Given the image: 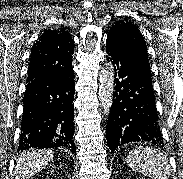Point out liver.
I'll return each instance as SVG.
<instances>
[{
    "label": "liver",
    "mask_w": 183,
    "mask_h": 179,
    "mask_svg": "<svg viewBox=\"0 0 183 179\" xmlns=\"http://www.w3.org/2000/svg\"><path fill=\"white\" fill-rule=\"evenodd\" d=\"M53 159L50 150L32 149L21 155L16 164V179H26L43 169Z\"/></svg>",
    "instance_id": "liver-1"
}]
</instances>
